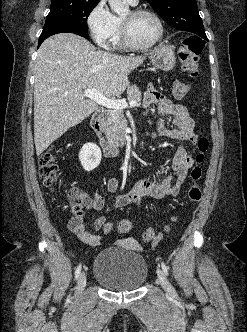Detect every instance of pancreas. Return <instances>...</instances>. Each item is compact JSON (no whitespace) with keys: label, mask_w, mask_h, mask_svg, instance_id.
Returning a JSON list of instances; mask_svg holds the SVG:
<instances>
[{"label":"pancreas","mask_w":247,"mask_h":332,"mask_svg":"<svg viewBox=\"0 0 247 332\" xmlns=\"http://www.w3.org/2000/svg\"><path fill=\"white\" fill-rule=\"evenodd\" d=\"M127 98L129 101L141 102V91L136 85L128 87ZM127 120L124 117L123 110H113L107 115L104 122V130L108 140L115 147H122L125 144Z\"/></svg>","instance_id":"cf45deb5"}]
</instances>
